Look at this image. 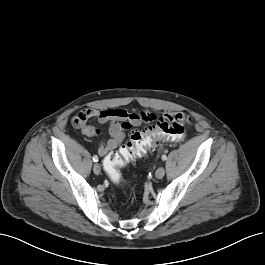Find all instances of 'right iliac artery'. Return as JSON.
I'll return each mask as SVG.
<instances>
[{"label": "right iliac artery", "instance_id": "right-iliac-artery-1", "mask_svg": "<svg viewBox=\"0 0 265 265\" xmlns=\"http://www.w3.org/2000/svg\"><path fill=\"white\" fill-rule=\"evenodd\" d=\"M98 160H99V159H98V156H97V155H94V156H93V161H94V162H98Z\"/></svg>", "mask_w": 265, "mask_h": 265}]
</instances>
